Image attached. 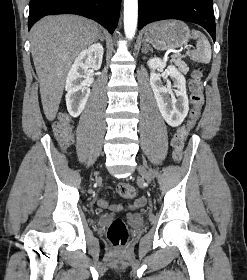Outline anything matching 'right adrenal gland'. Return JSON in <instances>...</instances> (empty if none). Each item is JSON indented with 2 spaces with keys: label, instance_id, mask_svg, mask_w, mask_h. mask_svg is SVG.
Returning a JSON list of instances; mask_svg holds the SVG:
<instances>
[{
  "label": "right adrenal gland",
  "instance_id": "1",
  "mask_svg": "<svg viewBox=\"0 0 247 280\" xmlns=\"http://www.w3.org/2000/svg\"><path fill=\"white\" fill-rule=\"evenodd\" d=\"M99 39H100L101 42L104 41V37H103V35H102L101 33H100V35H99Z\"/></svg>",
  "mask_w": 247,
  "mask_h": 280
}]
</instances>
